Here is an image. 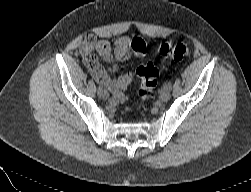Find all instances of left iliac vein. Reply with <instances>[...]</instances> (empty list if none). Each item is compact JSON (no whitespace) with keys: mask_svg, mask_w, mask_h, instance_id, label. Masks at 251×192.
Listing matches in <instances>:
<instances>
[{"mask_svg":"<svg viewBox=\"0 0 251 192\" xmlns=\"http://www.w3.org/2000/svg\"><path fill=\"white\" fill-rule=\"evenodd\" d=\"M170 97H171L170 90L164 87L160 92V99L165 102L168 101Z\"/></svg>","mask_w":251,"mask_h":192,"instance_id":"left-iliac-vein-1","label":"left iliac vein"}]
</instances>
